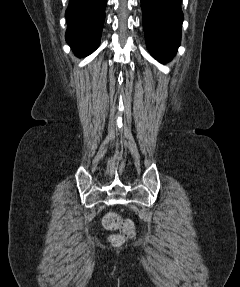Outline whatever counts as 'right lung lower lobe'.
I'll return each mask as SVG.
<instances>
[{
    "instance_id": "98d812e1",
    "label": "right lung lower lobe",
    "mask_w": 240,
    "mask_h": 287,
    "mask_svg": "<svg viewBox=\"0 0 240 287\" xmlns=\"http://www.w3.org/2000/svg\"><path fill=\"white\" fill-rule=\"evenodd\" d=\"M107 0H70L66 40L77 56L91 54L100 43Z\"/></svg>"
}]
</instances>
